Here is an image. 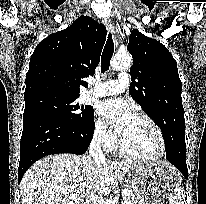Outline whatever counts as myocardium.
Listing matches in <instances>:
<instances>
[{
	"label": "myocardium",
	"mask_w": 206,
	"mask_h": 204,
	"mask_svg": "<svg viewBox=\"0 0 206 204\" xmlns=\"http://www.w3.org/2000/svg\"><path fill=\"white\" fill-rule=\"evenodd\" d=\"M135 117L140 118L145 120L146 122H148L152 128L155 130L158 138H159V142H160V150L156 155L153 156H141V155H137L135 153H132L131 151H129L126 146L123 143V140L120 136L119 138V150L120 152L131 159L137 160V161H142V162H156L161 160L167 153V141L165 138V135L162 131V129L160 128V126L157 124V122L150 117L149 115L142 113V112H138L134 114Z\"/></svg>",
	"instance_id": "f54148a6"
}]
</instances>
